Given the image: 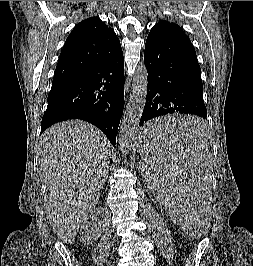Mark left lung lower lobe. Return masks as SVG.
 I'll return each mask as SVG.
<instances>
[{
    "label": "left lung lower lobe",
    "instance_id": "1",
    "mask_svg": "<svg viewBox=\"0 0 253 266\" xmlns=\"http://www.w3.org/2000/svg\"><path fill=\"white\" fill-rule=\"evenodd\" d=\"M144 64L148 72L147 97L139 123V126L144 125V138L162 141L201 135L202 118L207 117V110L203 101L201 69L187 35L168 25L153 27L145 44ZM178 112L201 118L168 125L150 121Z\"/></svg>",
    "mask_w": 253,
    "mask_h": 266
}]
</instances>
